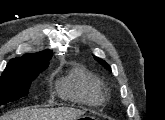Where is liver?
Instances as JSON below:
<instances>
[{"label": "liver", "instance_id": "obj_1", "mask_svg": "<svg viewBox=\"0 0 165 120\" xmlns=\"http://www.w3.org/2000/svg\"><path fill=\"white\" fill-rule=\"evenodd\" d=\"M82 114V111L73 108L22 109L3 116L0 120H73Z\"/></svg>", "mask_w": 165, "mask_h": 120}]
</instances>
